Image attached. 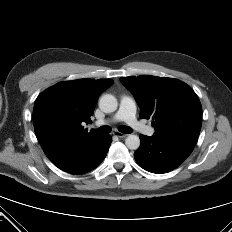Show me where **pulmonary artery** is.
<instances>
[{
    "label": "pulmonary artery",
    "instance_id": "obj_1",
    "mask_svg": "<svg viewBox=\"0 0 232 232\" xmlns=\"http://www.w3.org/2000/svg\"><path fill=\"white\" fill-rule=\"evenodd\" d=\"M121 121L127 123L131 128L144 135L151 136L154 133L153 128L138 121L136 102L133 98L128 96L121 98L119 109L111 119L98 120L95 122V125L102 126L108 123H116Z\"/></svg>",
    "mask_w": 232,
    "mask_h": 232
}]
</instances>
